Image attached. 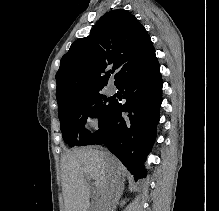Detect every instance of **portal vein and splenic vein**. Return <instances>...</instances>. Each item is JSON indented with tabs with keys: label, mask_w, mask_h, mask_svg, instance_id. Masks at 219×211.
<instances>
[{
	"label": "portal vein and splenic vein",
	"mask_w": 219,
	"mask_h": 211,
	"mask_svg": "<svg viewBox=\"0 0 219 211\" xmlns=\"http://www.w3.org/2000/svg\"><path fill=\"white\" fill-rule=\"evenodd\" d=\"M93 195H94V199H97V197H99L98 193H97V189H93Z\"/></svg>",
	"instance_id": "obj_1"
}]
</instances>
